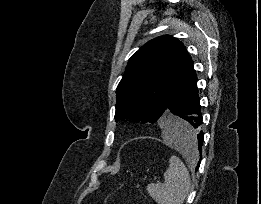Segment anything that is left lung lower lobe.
Returning <instances> with one entry per match:
<instances>
[{
    "mask_svg": "<svg viewBox=\"0 0 261 204\" xmlns=\"http://www.w3.org/2000/svg\"><path fill=\"white\" fill-rule=\"evenodd\" d=\"M200 100L197 89V76L193 65L188 74L180 84L171 99L164 122L168 132L180 141H189L195 138L197 144V152L201 153L204 133L202 128V114L200 111ZM172 114L179 117L180 120L175 121ZM188 153L194 154L192 148L188 149ZM200 162L197 164L198 170Z\"/></svg>",
    "mask_w": 261,
    "mask_h": 204,
    "instance_id": "1",
    "label": "left lung lower lobe"
}]
</instances>
